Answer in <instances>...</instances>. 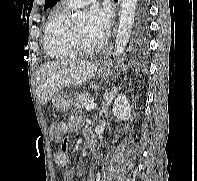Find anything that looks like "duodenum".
<instances>
[{
  "mask_svg": "<svg viewBox=\"0 0 197 181\" xmlns=\"http://www.w3.org/2000/svg\"><path fill=\"white\" fill-rule=\"evenodd\" d=\"M86 142H87V146H88L89 150L93 151L95 149V139L90 131L86 135Z\"/></svg>",
  "mask_w": 197,
  "mask_h": 181,
  "instance_id": "duodenum-1",
  "label": "duodenum"
}]
</instances>
